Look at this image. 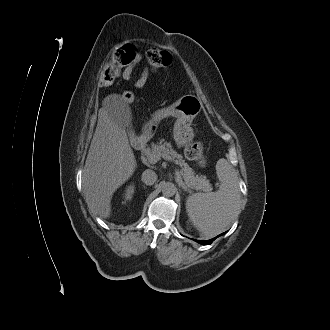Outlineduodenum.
<instances>
[{
    "label": "duodenum",
    "mask_w": 330,
    "mask_h": 330,
    "mask_svg": "<svg viewBox=\"0 0 330 330\" xmlns=\"http://www.w3.org/2000/svg\"><path fill=\"white\" fill-rule=\"evenodd\" d=\"M148 139H149V134L147 132H144L140 135L133 134L131 136V142L137 148H141Z\"/></svg>",
    "instance_id": "obj_1"
}]
</instances>
